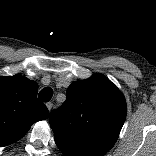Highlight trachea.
I'll return each mask as SVG.
<instances>
[{
    "mask_svg": "<svg viewBox=\"0 0 156 156\" xmlns=\"http://www.w3.org/2000/svg\"><path fill=\"white\" fill-rule=\"evenodd\" d=\"M52 96L53 90L50 87L42 89L38 94L39 99L43 102H48L52 98Z\"/></svg>",
    "mask_w": 156,
    "mask_h": 156,
    "instance_id": "trachea-1",
    "label": "trachea"
}]
</instances>
